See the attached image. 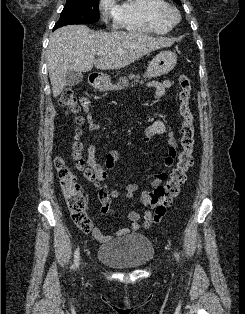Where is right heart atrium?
<instances>
[{
  "label": "right heart atrium",
  "instance_id": "right-heart-atrium-1",
  "mask_svg": "<svg viewBox=\"0 0 245 314\" xmlns=\"http://www.w3.org/2000/svg\"><path fill=\"white\" fill-rule=\"evenodd\" d=\"M99 10L104 22L115 21L117 5L115 0H100Z\"/></svg>",
  "mask_w": 245,
  "mask_h": 314
}]
</instances>
